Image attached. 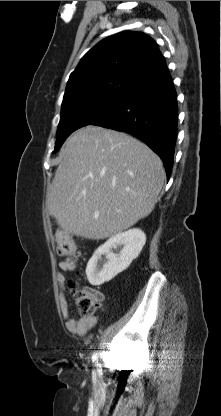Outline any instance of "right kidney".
Returning a JSON list of instances; mask_svg holds the SVG:
<instances>
[{"label": "right kidney", "mask_w": 221, "mask_h": 416, "mask_svg": "<svg viewBox=\"0 0 221 416\" xmlns=\"http://www.w3.org/2000/svg\"><path fill=\"white\" fill-rule=\"evenodd\" d=\"M146 243L145 233L138 228L129 229L113 235L103 245L97 248L86 267L89 283L99 286L113 279L124 271L138 257ZM123 246L118 254L112 248ZM106 256V260L102 256Z\"/></svg>", "instance_id": "obj_1"}]
</instances>
